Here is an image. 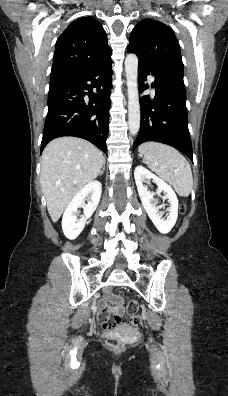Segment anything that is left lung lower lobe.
Here are the masks:
<instances>
[{
	"label": "left lung lower lobe",
	"mask_w": 228,
	"mask_h": 396,
	"mask_svg": "<svg viewBox=\"0 0 228 396\" xmlns=\"http://www.w3.org/2000/svg\"><path fill=\"white\" fill-rule=\"evenodd\" d=\"M148 74L155 77L152 83L155 97L151 99L147 95L140 101L141 125L133 151L142 143L155 141L180 150L193 161L183 76L138 65L141 92L145 90L143 82Z\"/></svg>",
	"instance_id": "1"
}]
</instances>
